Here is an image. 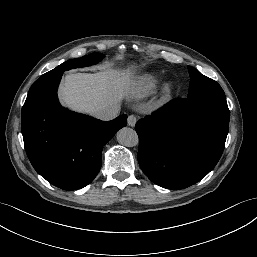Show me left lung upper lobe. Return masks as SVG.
<instances>
[{
	"label": "left lung upper lobe",
	"mask_w": 257,
	"mask_h": 257,
	"mask_svg": "<svg viewBox=\"0 0 257 257\" xmlns=\"http://www.w3.org/2000/svg\"><path fill=\"white\" fill-rule=\"evenodd\" d=\"M188 70L191 80L187 98L225 97L224 91L216 81L202 75L191 66H188Z\"/></svg>",
	"instance_id": "5c2ea615"
}]
</instances>
